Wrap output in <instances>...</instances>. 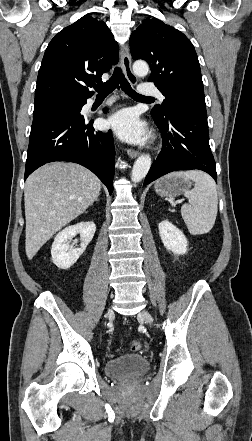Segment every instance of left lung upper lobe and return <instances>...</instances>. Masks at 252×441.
Segmentation results:
<instances>
[{
  "label": "left lung upper lobe",
  "instance_id": "1",
  "mask_svg": "<svg viewBox=\"0 0 252 441\" xmlns=\"http://www.w3.org/2000/svg\"><path fill=\"white\" fill-rule=\"evenodd\" d=\"M130 50L134 60L143 59L151 68L148 81L166 97L151 115L166 120L177 107L190 105L206 112L199 61L193 44L177 29L156 18H146L132 33Z\"/></svg>",
  "mask_w": 252,
  "mask_h": 441
}]
</instances>
